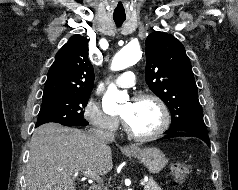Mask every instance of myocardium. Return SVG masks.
I'll return each instance as SVG.
<instances>
[{
  "label": "myocardium",
  "mask_w": 238,
  "mask_h": 190,
  "mask_svg": "<svg viewBox=\"0 0 238 190\" xmlns=\"http://www.w3.org/2000/svg\"><path fill=\"white\" fill-rule=\"evenodd\" d=\"M132 100H151L156 103L161 112V124L155 131L151 133H138L129 126V124L123 117H121L122 124L126 133L137 140H152L160 137L163 133H165V131L169 128L170 125V113L165 102L156 94L149 92L137 93L133 96Z\"/></svg>",
  "instance_id": "myocardium-1"
}]
</instances>
